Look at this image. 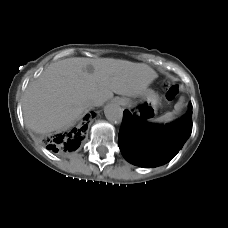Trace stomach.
I'll list each match as a JSON object with an SVG mask.
<instances>
[{
	"label": "stomach",
	"mask_w": 228,
	"mask_h": 228,
	"mask_svg": "<svg viewBox=\"0 0 228 228\" xmlns=\"http://www.w3.org/2000/svg\"><path fill=\"white\" fill-rule=\"evenodd\" d=\"M123 103L128 104L129 101L123 100ZM159 103L160 100L158 95L152 89H146L142 95V99L139 101L140 112L152 120L154 115L157 113Z\"/></svg>",
	"instance_id": "stomach-1"
}]
</instances>
